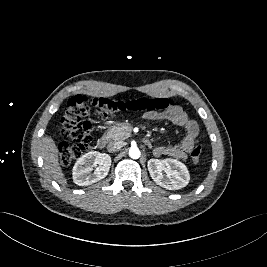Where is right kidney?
Masks as SVG:
<instances>
[{
	"mask_svg": "<svg viewBox=\"0 0 267 267\" xmlns=\"http://www.w3.org/2000/svg\"><path fill=\"white\" fill-rule=\"evenodd\" d=\"M99 166L94 170L93 165ZM111 166V157L106 153L91 151L81 156L73 167V181L79 186H88L105 178Z\"/></svg>",
	"mask_w": 267,
	"mask_h": 267,
	"instance_id": "obj_1",
	"label": "right kidney"
}]
</instances>
